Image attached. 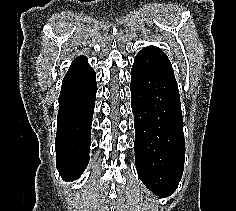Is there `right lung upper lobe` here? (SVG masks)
Wrapping results in <instances>:
<instances>
[{
    "label": "right lung upper lobe",
    "instance_id": "cb5924a9",
    "mask_svg": "<svg viewBox=\"0 0 236 211\" xmlns=\"http://www.w3.org/2000/svg\"><path fill=\"white\" fill-rule=\"evenodd\" d=\"M90 68L87 58L84 56H80L79 58H76L73 63L71 64L69 70L67 73H72L76 71H81L84 69Z\"/></svg>",
    "mask_w": 236,
    "mask_h": 211
}]
</instances>
